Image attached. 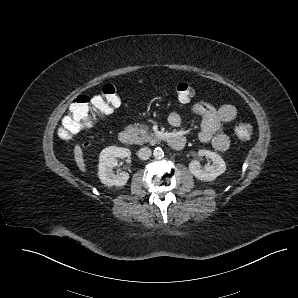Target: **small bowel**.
I'll list each match as a JSON object with an SVG mask.
<instances>
[{
	"mask_svg": "<svg viewBox=\"0 0 298 298\" xmlns=\"http://www.w3.org/2000/svg\"><path fill=\"white\" fill-rule=\"evenodd\" d=\"M191 111L202 117L200 141L210 143L217 151H227L230 147V139L223 131V126L236 118V108L230 104L216 108L207 102H197L191 106ZM168 122L173 127L180 126L181 114L177 111L171 112Z\"/></svg>",
	"mask_w": 298,
	"mask_h": 298,
	"instance_id": "obj_1",
	"label": "small bowel"
}]
</instances>
